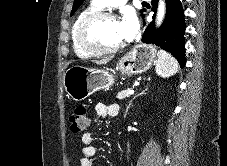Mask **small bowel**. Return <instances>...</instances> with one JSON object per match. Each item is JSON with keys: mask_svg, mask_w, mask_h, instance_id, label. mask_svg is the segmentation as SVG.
<instances>
[{"mask_svg": "<svg viewBox=\"0 0 227 166\" xmlns=\"http://www.w3.org/2000/svg\"><path fill=\"white\" fill-rule=\"evenodd\" d=\"M96 114L100 120L107 119L109 117H115L119 112L118 104L106 105L104 103H98L95 106ZM81 141L84 148L80 157V166H92L91 158L96 154V148L93 146V136L91 133H84L81 136Z\"/></svg>", "mask_w": 227, "mask_h": 166, "instance_id": "small-bowel-1", "label": "small bowel"}]
</instances>
